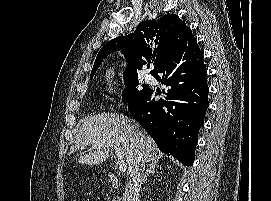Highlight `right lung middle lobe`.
<instances>
[{
  "instance_id": "right-lung-middle-lobe-1",
  "label": "right lung middle lobe",
  "mask_w": 271,
  "mask_h": 201,
  "mask_svg": "<svg viewBox=\"0 0 271 201\" xmlns=\"http://www.w3.org/2000/svg\"><path fill=\"white\" fill-rule=\"evenodd\" d=\"M93 75H91L90 79H92ZM124 80H125V85L126 88L123 90V101L128 102L135 96L141 95L145 93L147 90H149V87H146V85H142V89H138L139 86V81L137 75H129V74H124Z\"/></svg>"
}]
</instances>
